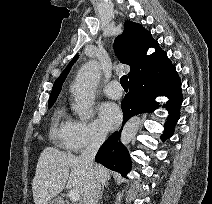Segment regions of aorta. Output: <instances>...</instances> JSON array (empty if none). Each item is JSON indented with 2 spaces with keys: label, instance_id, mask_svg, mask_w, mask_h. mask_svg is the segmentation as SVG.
<instances>
[{
  "label": "aorta",
  "instance_id": "762f6f07",
  "mask_svg": "<svg viewBox=\"0 0 212 204\" xmlns=\"http://www.w3.org/2000/svg\"><path fill=\"white\" fill-rule=\"evenodd\" d=\"M99 79L100 65L96 60L87 62L77 73L71 92L74 97L73 110L82 121H87L92 116L94 90ZM139 126L140 118H131L123 128L121 142L130 143L135 138Z\"/></svg>",
  "mask_w": 212,
  "mask_h": 204
}]
</instances>
